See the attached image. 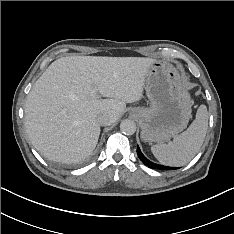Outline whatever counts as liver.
I'll list each match as a JSON object with an SVG mask.
<instances>
[{
	"label": "liver",
	"mask_w": 234,
	"mask_h": 234,
	"mask_svg": "<svg viewBox=\"0 0 234 234\" xmlns=\"http://www.w3.org/2000/svg\"><path fill=\"white\" fill-rule=\"evenodd\" d=\"M154 61L102 56L55 60L35 82L25 102V128L32 145L57 162L76 163L87 158L100 135L97 117L107 113L112 124L126 103L141 100L145 76Z\"/></svg>",
	"instance_id": "liver-1"
}]
</instances>
